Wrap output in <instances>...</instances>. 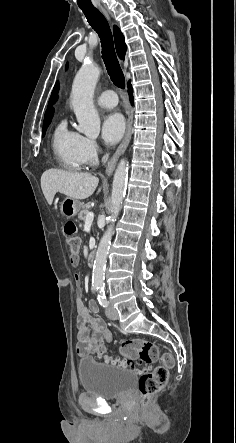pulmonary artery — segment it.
Returning <instances> with one entry per match:
<instances>
[{
    "label": "pulmonary artery",
    "instance_id": "1",
    "mask_svg": "<svg viewBox=\"0 0 236 443\" xmlns=\"http://www.w3.org/2000/svg\"><path fill=\"white\" fill-rule=\"evenodd\" d=\"M97 103L105 108H113L117 105L118 99L114 91L107 90L97 97Z\"/></svg>",
    "mask_w": 236,
    "mask_h": 443
}]
</instances>
